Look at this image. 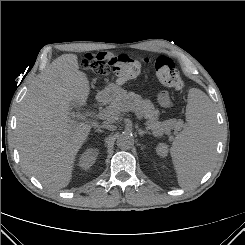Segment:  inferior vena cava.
Listing matches in <instances>:
<instances>
[{
	"label": "inferior vena cava",
	"mask_w": 245,
	"mask_h": 245,
	"mask_svg": "<svg viewBox=\"0 0 245 245\" xmlns=\"http://www.w3.org/2000/svg\"><path fill=\"white\" fill-rule=\"evenodd\" d=\"M99 127H104V128H106L108 130H111V131L116 130V126L115 125H110V124L102 125V126H99Z\"/></svg>",
	"instance_id": "obj_1"
}]
</instances>
